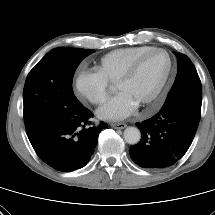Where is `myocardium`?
I'll list each match as a JSON object with an SVG mask.
<instances>
[{
    "instance_id": "f54148a6",
    "label": "myocardium",
    "mask_w": 215,
    "mask_h": 215,
    "mask_svg": "<svg viewBox=\"0 0 215 215\" xmlns=\"http://www.w3.org/2000/svg\"><path fill=\"white\" fill-rule=\"evenodd\" d=\"M157 52H161L164 53L169 61L168 64V68L167 71L164 75V78L162 79L161 83L159 84V86L156 88V90L154 91V93L146 100L142 103V105H149L151 103H153L159 96L160 94L163 92L164 88L166 87L168 80L170 78L172 69H173V59L171 54L163 48H152L146 52H144L143 54H141L140 56H138L135 60H133L130 65L126 68V70L121 74V76L118 78V80L116 81V86L124 83L128 80H130L133 75L136 73L137 69L139 68V66L141 65V63L151 54L153 53H157Z\"/></svg>"
}]
</instances>
